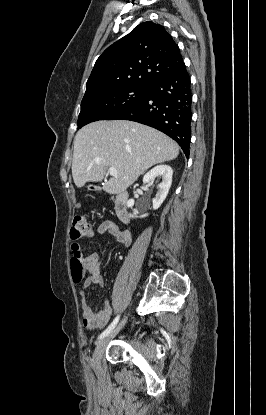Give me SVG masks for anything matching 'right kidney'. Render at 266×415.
<instances>
[{
    "label": "right kidney",
    "instance_id": "ca27d5eb",
    "mask_svg": "<svg viewBox=\"0 0 266 415\" xmlns=\"http://www.w3.org/2000/svg\"><path fill=\"white\" fill-rule=\"evenodd\" d=\"M172 175L173 170L168 165H158L144 175L143 182L148 185H152V182L155 178L162 180L161 183L158 185V191L152 200L154 210L158 209L165 200L171 187ZM133 205L134 199H129L127 201V207L132 208ZM146 216H148V214H144L141 217L143 218ZM129 217L134 218L137 216L136 214H129Z\"/></svg>",
    "mask_w": 266,
    "mask_h": 415
}]
</instances>
